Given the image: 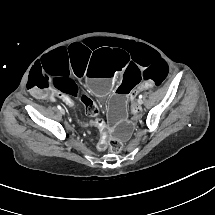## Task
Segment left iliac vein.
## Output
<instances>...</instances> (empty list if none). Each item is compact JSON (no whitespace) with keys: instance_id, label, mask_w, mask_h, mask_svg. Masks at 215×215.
Returning a JSON list of instances; mask_svg holds the SVG:
<instances>
[{"instance_id":"4c4485c4","label":"left iliac vein","mask_w":215,"mask_h":215,"mask_svg":"<svg viewBox=\"0 0 215 215\" xmlns=\"http://www.w3.org/2000/svg\"><path fill=\"white\" fill-rule=\"evenodd\" d=\"M136 107H141V103L140 102H137L134 104Z\"/></svg>"}]
</instances>
